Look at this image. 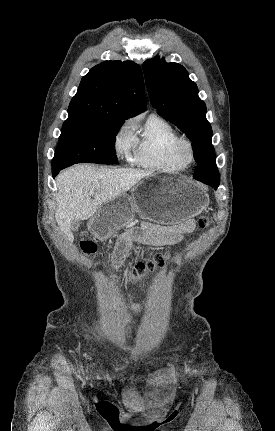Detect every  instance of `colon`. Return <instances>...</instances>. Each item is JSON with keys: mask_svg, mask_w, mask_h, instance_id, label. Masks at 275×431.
I'll list each match as a JSON object with an SVG mask.
<instances>
[{"mask_svg": "<svg viewBox=\"0 0 275 431\" xmlns=\"http://www.w3.org/2000/svg\"><path fill=\"white\" fill-rule=\"evenodd\" d=\"M209 224L207 217H201L199 226L205 228ZM80 248L85 254H93L96 251V245L93 241L83 239L80 242ZM166 256L163 254H156L150 261L138 263L133 270L129 273L130 277L141 278L146 273L151 272L165 264Z\"/></svg>", "mask_w": 275, "mask_h": 431, "instance_id": "obj_1", "label": "colon"}]
</instances>
